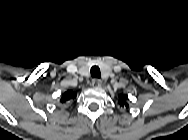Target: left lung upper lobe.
<instances>
[{
    "instance_id": "obj_1",
    "label": "left lung upper lobe",
    "mask_w": 188,
    "mask_h": 140,
    "mask_svg": "<svg viewBox=\"0 0 188 140\" xmlns=\"http://www.w3.org/2000/svg\"><path fill=\"white\" fill-rule=\"evenodd\" d=\"M125 95H120L119 96V101H118V103H119V105L121 106V107H125V108H128V104H127V102L125 101Z\"/></svg>"
}]
</instances>
